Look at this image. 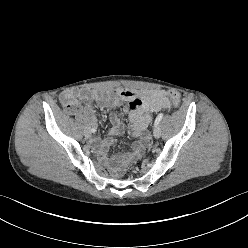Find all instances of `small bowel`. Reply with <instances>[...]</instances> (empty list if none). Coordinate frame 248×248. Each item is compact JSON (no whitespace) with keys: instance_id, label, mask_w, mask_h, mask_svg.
Here are the masks:
<instances>
[{"instance_id":"1","label":"small bowel","mask_w":248,"mask_h":248,"mask_svg":"<svg viewBox=\"0 0 248 248\" xmlns=\"http://www.w3.org/2000/svg\"><path fill=\"white\" fill-rule=\"evenodd\" d=\"M60 100L70 113L82 111L79 100L98 101L101 106L111 110L110 120L112 128L109 136L104 141L92 139V142L101 151H104L112 145L115 137L123 133V123L115 110L119 107L121 101L128 103L127 106L123 108V111L129 113L132 135L140 137L141 141L134 147L132 154L122 156L119 159L121 164L129 162L133 157L138 155L143 148L146 141L144 131L151 122L150 114L161 110H167L171 107L164 92L157 89L121 88L116 91H103L97 89L65 91L60 95Z\"/></svg>"}]
</instances>
